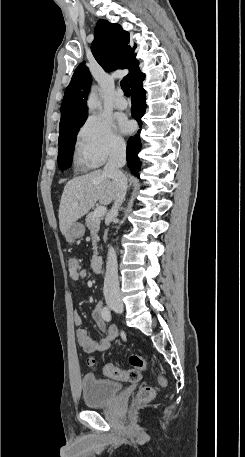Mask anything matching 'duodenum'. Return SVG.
Returning a JSON list of instances; mask_svg holds the SVG:
<instances>
[{
    "label": "duodenum",
    "instance_id": "duodenum-1",
    "mask_svg": "<svg viewBox=\"0 0 245 457\" xmlns=\"http://www.w3.org/2000/svg\"><path fill=\"white\" fill-rule=\"evenodd\" d=\"M103 259L100 255H95L92 258V269L95 272H99L102 268Z\"/></svg>",
    "mask_w": 245,
    "mask_h": 457
}]
</instances>
